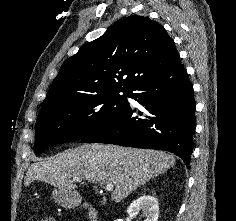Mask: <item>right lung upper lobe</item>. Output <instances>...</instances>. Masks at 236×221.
Instances as JSON below:
<instances>
[{"label": "right lung upper lobe", "mask_w": 236, "mask_h": 221, "mask_svg": "<svg viewBox=\"0 0 236 221\" xmlns=\"http://www.w3.org/2000/svg\"><path fill=\"white\" fill-rule=\"evenodd\" d=\"M176 56L174 41L157 22L138 15L120 19L62 64L41 109L103 92L130 91Z\"/></svg>", "instance_id": "1"}]
</instances>
